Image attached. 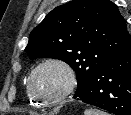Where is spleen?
Masks as SVG:
<instances>
[{"instance_id":"obj_1","label":"spleen","mask_w":131,"mask_h":115,"mask_svg":"<svg viewBox=\"0 0 131 115\" xmlns=\"http://www.w3.org/2000/svg\"><path fill=\"white\" fill-rule=\"evenodd\" d=\"M84 115H106L104 112L100 110H85Z\"/></svg>"}]
</instances>
